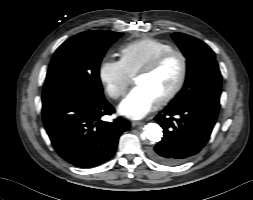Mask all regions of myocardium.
I'll return each mask as SVG.
<instances>
[{"label":"myocardium","mask_w":253,"mask_h":200,"mask_svg":"<svg viewBox=\"0 0 253 200\" xmlns=\"http://www.w3.org/2000/svg\"><path fill=\"white\" fill-rule=\"evenodd\" d=\"M172 57H178L180 59L181 73H180L179 79H178L177 83L175 84V86L165 96H163L162 98H160L157 101L158 105H165V104L169 103L182 90V88L186 82L187 75H188V60H187L186 56L182 52L177 51V50H171V51L162 53L161 55L154 58L151 62H149L146 66L141 68L136 73V77L150 75V74L154 73L155 71H157L162 66V64H164L168 59H170Z\"/></svg>","instance_id":"obj_1"}]
</instances>
